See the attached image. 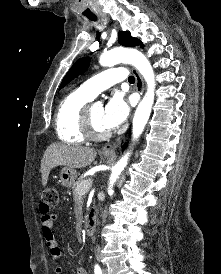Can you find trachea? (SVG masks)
I'll use <instances>...</instances> for the list:
<instances>
[{"mask_svg":"<svg viewBox=\"0 0 221 274\" xmlns=\"http://www.w3.org/2000/svg\"><path fill=\"white\" fill-rule=\"evenodd\" d=\"M89 19L90 20H92V21H97V17H89ZM128 81H129V83H134L135 82V78H134V76H130L129 78H128Z\"/></svg>","mask_w":221,"mask_h":274,"instance_id":"trachea-1","label":"trachea"}]
</instances>
